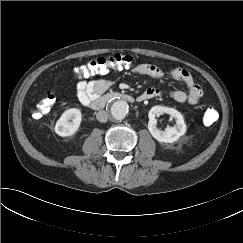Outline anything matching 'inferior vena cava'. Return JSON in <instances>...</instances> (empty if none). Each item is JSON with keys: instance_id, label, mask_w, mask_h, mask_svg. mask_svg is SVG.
Masks as SVG:
<instances>
[{"instance_id": "obj_1", "label": "inferior vena cava", "mask_w": 243, "mask_h": 243, "mask_svg": "<svg viewBox=\"0 0 243 243\" xmlns=\"http://www.w3.org/2000/svg\"><path fill=\"white\" fill-rule=\"evenodd\" d=\"M96 118L99 122H106L108 120V115L104 110H100L96 114Z\"/></svg>"}]
</instances>
